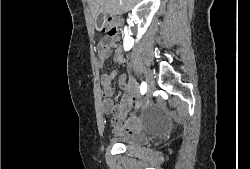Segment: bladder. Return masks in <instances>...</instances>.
Listing matches in <instances>:
<instances>
[{
	"label": "bladder",
	"mask_w": 250,
	"mask_h": 169,
	"mask_svg": "<svg viewBox=\"0 0 250 169\" xmlns=\"http://www.w3.org/2000/svg\"><path fill=\"white\" fill-rule=\"evenodd\" d=\"M117 137L110 136V141H115L117 145L124 147H139L144 148L149 146V134L146 133H117Z\"/></svg>",
	"instance_id": "obj_1"
}]
</instances>
